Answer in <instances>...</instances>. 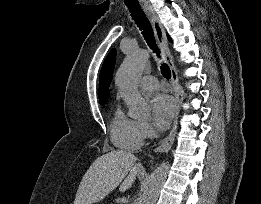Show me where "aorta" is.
<instances>
[{"mask_svg": "<svg viewBox=\"0 0 261 204\" xmlns=\"http://www.w3.org/2000/svg\"><path fill=\"white\" fill-rule=\"evenodd\" d=\"M149 51L132 50L125 58L116 73L115 82L124 99L129 115L135 119L150 115V105L138 90V81L149 62ZM169 170L168 163H162L151 174L144 186L140 204H155L159 192L166 181Z\"/></svg>", "mask_w": 261, "mask_h": 204, "instance_id": "1", "label": "aorta"}]
</instances>
